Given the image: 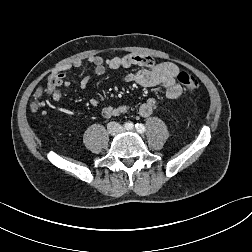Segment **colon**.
Instances as JSON below:
<instances>
[{"mask_svg": "<svg viewBox=\"0 0 252 252\" xmlns=\"http://www.w3.org/2000/svg\"><path fill=\"white\" fill-rule=\"evenodd\" d=\"M177 81L184 86V88L190 92V93H194L198 87H199V82L198 80L191 74L187 73V72H180L177 75ZM40 91L37 92L36 96L39 97L40 96ZM37 105L34 103L32 105V109L36 110Z\"/></svg>", "mask_w": 252, "mask_h": 252, "instance_id": "obj_1", "label": "colon"}]
</instances>
